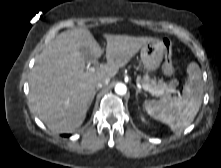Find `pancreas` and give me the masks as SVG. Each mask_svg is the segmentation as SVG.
<instances>
[{"label": "pancreas", "mask_w": 221, "mask_h": 168, "mask_svg": "<svg viewBox=\"0 0 221 168\" xmlns=\"http://www.w3.org/2000/svg\"><path fill=\"white\" fill-rule=\"evenodd\" d=\"M137 81L140 82L142 85H148L152 89H156L159 91L158 94H154L156 96L165 97L169 94L170 90L173 88L172 85H167L163 82L162 79L156 83L155 80L150 79L148 76H144L143 78L138 77Z\"/></svg>", "instance_id": "pancreas-1"}]
</instances>
